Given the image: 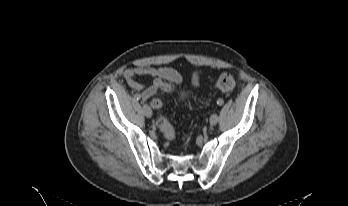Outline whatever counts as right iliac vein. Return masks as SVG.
Instances as JSON below:
<instances>
[{"label":"right iliac vein","mask_w":348,"mask_h":206,"mask_svg":"<svg viewBox=\"0 0 348 206\" xmlns=\"http://www.w3.org/2000/svg\"><path fill=\"white\" fill-rule=\"evenodd\" d=\"M143 112H144V115L147 118H151L152 117V110H151V108L147 104L143 105Z\"/></svg>","instance_id":"right-iliac-vein-1"}]
</instances>
